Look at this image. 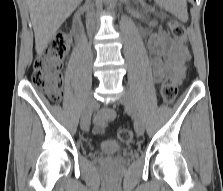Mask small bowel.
<instances>
[{
  "instance_id": "c3829d8e",
  "label": "small bowel",
  "mask_w": 223,
  "mask_h": 191,
  "mask_svg": "<svg viewBox=\"0 0 223 191\" xmlns=\"http://www.w3.org/2000/svg\"><path fill=\"white\" fill-rule=\"evenodd\" d=\"M148 49L153 54L151 66L154 79L158 83L168 76L177 81H181L185 77L186 63L190 59V52L179 40L171 38L163 31H157L149 37ZM115 118L114 109L100 108L93 118L94 132H102Z\"/></svg>"
}]
</instances>
